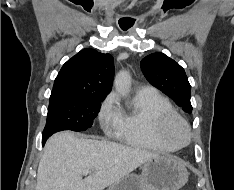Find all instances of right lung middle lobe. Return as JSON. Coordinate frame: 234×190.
<instances>
[{"mask_svg":"<svg viewBox=\"0 0 234 190\" xmlns=\"http://www.w3.org/2000/svg\"><path fill=\"white\" fill-rule=\"evenodd\" d=\"M103 100V98L52 91L42 138H48L62 130L84 131L92 127Z\"/></svg>","mask_w":234,"mask_h":190,"instance_id":"obj_1","label":"right lung middle lobe"}]
</instances>
